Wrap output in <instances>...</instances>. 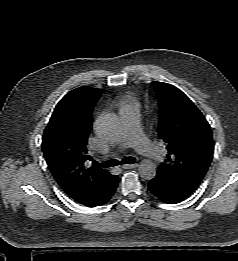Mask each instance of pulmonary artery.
I'll return each mask as SVG.
<instances>
[{
  "label": "pulmonary artery",
  "mask_w": 238,
  "mask_h": 261,
  "mask_svg": "<svg viewBox=\"0 0 238 261\" xmlns=\"http://www.w3.org/2000/svg\"><path fill=\"white\" fill-rule=\"evenodd\" d=\"M120 118L122 132L118 149L123 150L128 147H133L154 161L162 160L163 156L161 151L147 139L142 131L138 106L129 105L121 108Z\"/></svg>",
  "instance_id": "1"
}]
</instances>
